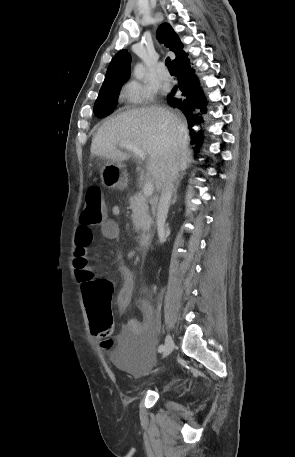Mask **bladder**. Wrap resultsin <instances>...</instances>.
<instances>
[{
  "instance_id": "31cf9c89",
  "label": "bladder",
  "mask_w": 295,
  "mask_h": 457,
  "mask_svg": "<svg viewBox=\"0 0 295 457\" xmlns=\"http://www.w3.org/2000/svg\"><path fill=\"white\" fill-rule=\"evenodd\" d=\"M157 344V338H121V347L117 350L118 355L123 356L119 363L120 366L134 378L139 377L144 368L150 372L152 370L150 365H158L159 362L155 350ZM155 374L158 375L159 373L156 372Z\"/></svg>"
}]
</instances>
